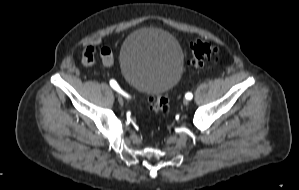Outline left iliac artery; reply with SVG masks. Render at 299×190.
<instances>
[{
	"mask_svg": "<svg viewBox=\"0 0 299 190\" xmlns=\"http://www.w3.org/2000/svg\"><path fill=\"white\" fill-rule=\"evenodd\" d=\"M192 97H193V94L190 93V92L186 93V95H185V98L188 99V100H191Z\"/></svg>",
	"mask_w": 299,
	"mask_h": 190,
	"instance_id": "44dca946",
	"label": "left iliac artery"
}]
</instances>
